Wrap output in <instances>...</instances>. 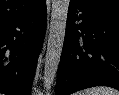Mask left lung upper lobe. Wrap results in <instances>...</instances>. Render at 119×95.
<instances>
[{"instance_id":"5c2ea615","label":"left lung upper lobe","mask_w":119,"mask_h":95,"mask_svg":"<svg viewBox=\"0 0 119 95\" xmlns=\"http://www.w3.org/2000/svg\"><path fill=\"white\" fill-rule=\"evenodd\" d=\"M80 2L105 13L119 15V0H79Z\"/></svg>"}]
</instances>
